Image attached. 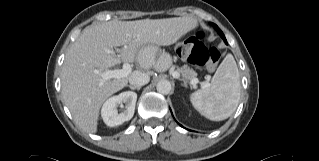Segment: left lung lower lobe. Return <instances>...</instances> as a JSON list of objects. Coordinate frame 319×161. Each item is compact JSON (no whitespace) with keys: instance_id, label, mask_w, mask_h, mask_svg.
Instances as JSON below:
<instances>
[{"instance_id":"1","label":"left lung lower lobe","mask_w":319,"mask_h":161,"mask_svg":"<svg viewBox=\"0 0 319 161\" xmlns=\"http://www.w3.org/2000/svg\"><path fill=\"white\" fill-rule=\"evenodd\" d=\"M213 26L218 30V27L215 25V24H213ZM180 125V124H179ZM181 126V125H180Z\"/></svg>"}]
</instances>
